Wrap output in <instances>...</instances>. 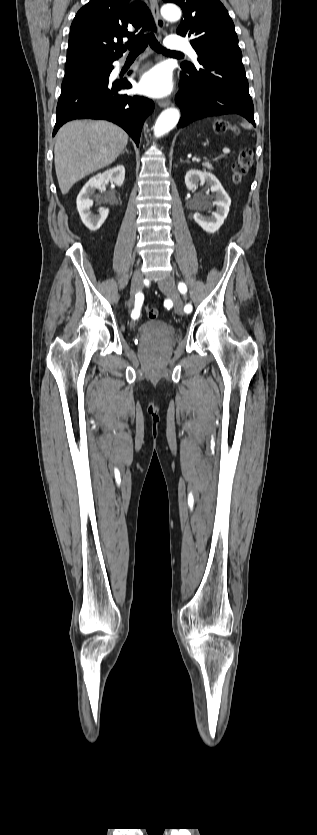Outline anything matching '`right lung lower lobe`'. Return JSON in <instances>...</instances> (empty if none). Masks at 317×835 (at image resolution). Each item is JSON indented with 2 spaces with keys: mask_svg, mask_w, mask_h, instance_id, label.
I'll use <instances>...</instances> for the list:
<instances>
[{
  "mask_svg": "<svg viewBox=\"0 0 317 835\" xmlns=\"http://www.w3.org/2000/svg\"><path fill=\"white\" fill-rule=\"evenodd\" d=\"M98 58L95 54L67 57L66 71L77 69L81 63H90ZM111 63L113 61H110ZM113 67L107 68V75L64 87L56 109V124L53 136L68 121L81 118L104 119L122 127L139 145L141 129L146 117L153 111L154 103L143 96L120 95L117 92L131 88L127 80L109 83Z\"/></svg>",
  "mask_w": 317,
  "mask_h": 835,
  "instance_id": "1",
  "label": "right lung lower lobe"
}]
</instances>
